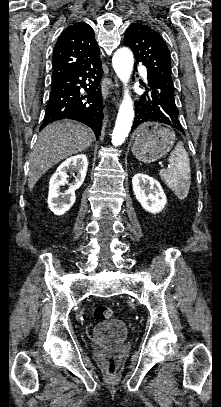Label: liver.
Instances as JSON below:
<instances>
[{
  "label": "liver",
  "mask_w": 221,
  "mask_h": 407,
  "mask_svg": "<svg viewBox=\"0 0 221 407\" xmlns=\"http://www.w3.org/2000/svg\"><path fill=\"white\" fill-rule=\"evenodd\" d=\"M93 138L94 133L90 128L74 121L64 120L47 125L38 135L30 155L29 190L51 167L89 148Z\"/></svg>",
  "instance_id": "liver-1"
}]
</instances>
